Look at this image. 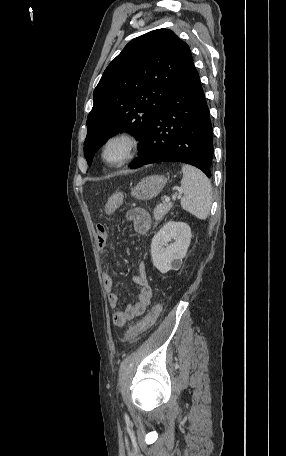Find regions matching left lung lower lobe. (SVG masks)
<instances>
[{
    "label": "left lung lower lobe",
    "instance_id": "1",
    "mask_svg": "<svg viewBox=\"0 0 286 456\" xmlns=\"http://www.w3.org/2000/svg\"><path fill=\"white\" fill-rule=\"evenodd\" d=\"M131 169L156 162H182L211 177L212 125L198 72L192 63L168 93Z\"/></svg>",
    "mask_w": 286,
    "mask_h": 456
}]
</instances>
